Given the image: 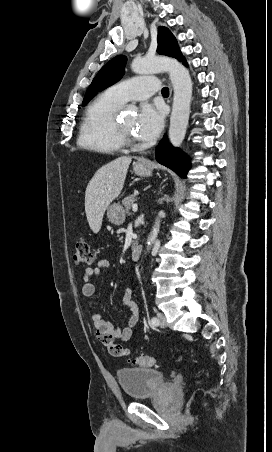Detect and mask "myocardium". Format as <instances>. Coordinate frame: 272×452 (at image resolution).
Returning <instances> with one entry per match:
<instances>
[{"label":"myocardium","mask_w":272,"mask_h":452,"mask_svg":"<svg viewBox=\"0 0 272 452\" xmlns=\"http://www.w3.org/2000/svg\"><path fill=\"white\" fill-rule=\"evenodd\" d=\"M112 133L115 139L123 146H136L137 143L128 132L122 127L121 123L115 116L112 122Z\"/></svg>","instance_id":"obj_1"}]
</instances>
